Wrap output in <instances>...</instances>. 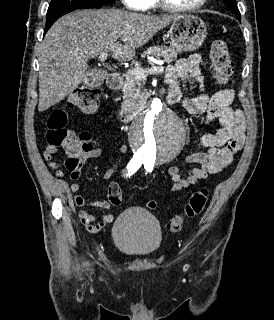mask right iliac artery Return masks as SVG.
Instances as JSON below:
<instances>
[{
  "mask_svg": "<svg viewBox=\"0 0 274 320\" xmlns=\"http://www.w3.org/2000/svg\"><path fill=\"white\" fill-rule=\"evenodd\" d=\"M143 161L141 159L132 158L131 161L127 165V169L131 174L136 172L139 167L142 165Z\"/></svg>",
  "mask_w": 274,
  "mask_h": 320,
  "instance_id": "obj_1",
  "label": "right iliac artery"
}]
</instances>
